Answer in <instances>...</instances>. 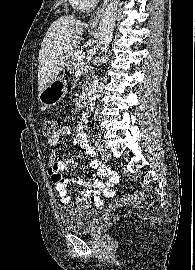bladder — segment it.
Wrapping results in <instances>:
<instances>
[{"instance_id":"obj_1","label":"bladder","mask_w":195,"mask_h":270,"mask_svg":"<svg viewBox=\"0 0 195 270\" xmlns=\"http://www.w3.org/2000/svg\"><path fill=\"white\" fill-rule=\"evenodd\" d=\"M59 216L66 231L87 234L95 228L100 213L88 204H72L60 208Z\"/></svg>"}]
</instances>
